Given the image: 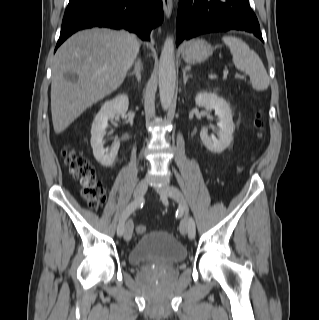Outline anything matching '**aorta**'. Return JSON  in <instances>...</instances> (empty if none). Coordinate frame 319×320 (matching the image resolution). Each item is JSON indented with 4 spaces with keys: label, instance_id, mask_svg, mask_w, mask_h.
Instances as JSON below:
<instances>
[{
    "label": "aorta",
    "instance_id": "aorta-1",
    "mask_svg": "<svg viewBox=\"0 0 319 320\" xmlns=\"http://www.w3.org/2000/svg\"><path fill=\"white\" fill-rule=\"evenodd\" d=\"M159 93L162 108L167 110L173 100L176 82L174 41L167 37L159 60Z\"/></svg>",
    "mask_w": 319,
    "mask_h": 320
}]
</instances>
